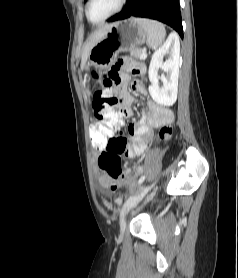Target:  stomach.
Instances as JSON below:
<instances>
[{
	"label": "stomach",
	"mask_w": 238,
	"mask_h": 278,
	"mask_svg": "<svg viewBox=\"0 0 238 278\" xmlns=\"http://www.w3.org/2000/svg\"><path fill=\"white\" fill-rule=\"evenodd\" d=\"M146 37L145 29L135 18L115 22L92 47L89 61L98 69H107L119 52L142 45Z\"/></svg>",
	"instance_id": "obj_1"
}]
</instances>
